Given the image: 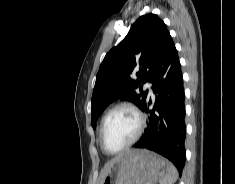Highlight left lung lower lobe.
<instances>
[{
	"instance_id": "0a47b994",
	"label": "left lung lower lobe",
	"mask_w": 235,
	"mask_h": 184,
	"mask_svg": "<svg viewBox=\"0 0 235 184\" xmlns=\"http://www.w3.org/2000/svg\"><path fill=\"white\" fill-rule=\"evenodd\" d=\"M156 100L146 99L142 110L149 114L148 127L135 148H146L169 159L180 175L185 165V110L181 65L171 36L160 48L150 77Z\"/></svg>"
}]
</instances>
